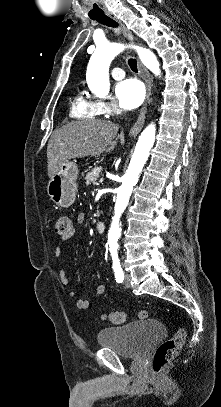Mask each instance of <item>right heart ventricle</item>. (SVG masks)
Segmentation results:
<instances>
[{
	"label": "right heart ventricle",
	"mask_w": 221,
	"mask_h": 407,
	"mask_svg": "<svg viewBox=\"0 0 221 407\" xmlns=\"http://www.w3.org/2000/svg\"><path fill=\"white\" fill-rule=\"evenodd\" d=\"M69 115L75 119H96L101 113L95 102L85 97L81 91H77L70 101Z\"/></svg>",
	"instance_id": "right-heart-ventricle-1"
}]
</instances>
